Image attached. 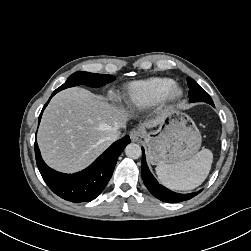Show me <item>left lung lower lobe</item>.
<instances>
[{
  "instance_id": "left-lung-lower-lobe-1",
  "label": "left lung lower lobe",
  "mask_w": 251,
  "mask_h": 251,
  "mask_svg": "<svg viewBox=\"0 0 251 251\" xmlns=\"http://www.w3.org/2000/svg\"><path fill=\"white\" fill-rule=\"evenodd\" d=\"M141 173H142L144 184L148 188V190L151 192V194L164 202H170V203L182 202V201L193 198L194 196H196L198 193L201 192L200 190L198 192L189 193V194H179V193L170 191L164 186L158 184L157 180L153 177V175L149 171V168L146 163L145 152L143 148H142Z\"/></svg>"
}]
</instances>
